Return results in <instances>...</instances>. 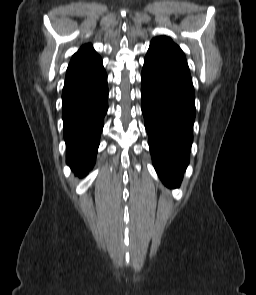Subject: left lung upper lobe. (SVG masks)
<instances>
[{
  "instance_id": "left-lung-upper-lobe-1",
  "label": "left lung upper lobe",
  "mask_w": 256,
  "mask_h": 295,
  "mask_svg": "<svg viewBox=\"0 0 256 295\" xmlns=\"http://www.w3.org/2000/svg\"><path fill=\"white\" fill-rule=\"evenodd\" d=\"M144 64L192 81L183 51L166 36L151 40Z\"/></svg>"
}]
</instances>
